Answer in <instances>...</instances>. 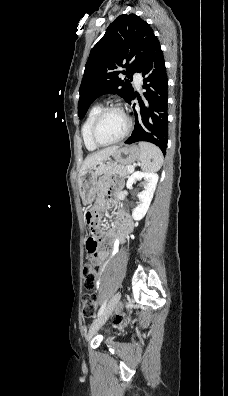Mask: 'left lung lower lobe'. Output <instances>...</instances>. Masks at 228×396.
Wrapping results in <instances>:
<instances>
[{"instance_id": "obj_1", "label": "left lung lower lobe", "mask_w": 228, "mask_h": 396, "mask_svg": "<svg viewBox=\"0 0 228 396\" xmlns=\"http://www.w3.org/2000/svg\"><path fill=\"white\" fill-rule=\"evenodd\" d=\"M144 77V97H137L139 108L135 110V127L125 141L132 144L139 141L151 142L166 153L168 135V79L160 43L156 38L146 61L140 70ZM136 97L133 93L128 103Z\"/></svg>"}]
</instances>
